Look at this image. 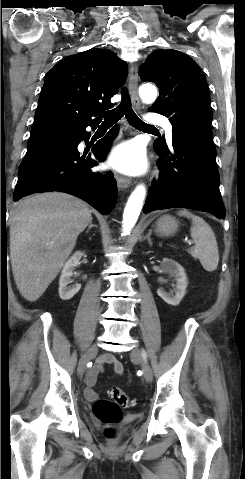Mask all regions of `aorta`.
Here are the masks:
<instances>
[{
  "mask_svg": "<svg viewBox=\"0 0 245 479\" xmlns=\"http://www.w3.org/2000/svg\"><path fill=\"white\" fill-rule=\"evenodd\" d=\"M139 94L143 102L152 103L157 97V89L153 85H142L139 88ZM145 194V187L139 185L130 195L123 213L122 235H129L135 226L143 206Z\"/></svg>",
  "mask_w": 245,
  "mask_h": 479,
  "instance_id": "1",
  "label": "aorta"
}]
</instances>
